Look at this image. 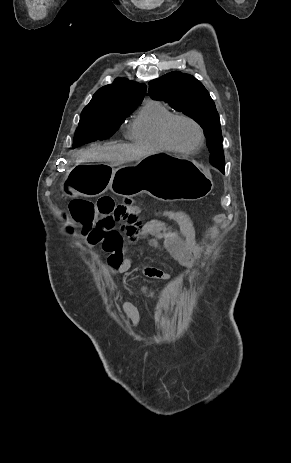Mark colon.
I'll list each match as a JSON object with an SVG mask.
<instances>
[{"mask_svg":"<svg viewBox=\"0 0 291 463\" xmlns=\"http://www.w3.org/2000/svg\"><path fill=\"white\" fill-rule=\"evenodd\" d=\"M131 206L133 204L130 199L117 202L108 196L96 201L73 199L64 215L80 223L84 231L110 230L124 221Z\"/></svg>","mask_w":291,"mask_h":463,"instance_id":"obj_1","label":"colon"}]
</instances>
